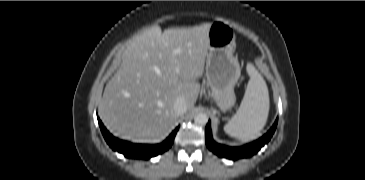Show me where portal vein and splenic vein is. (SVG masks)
Returning <instances> with one entry per match:
<instances>
[{"label": "portal vein and splenic vein", "instance_id": "18ae733b", "mask_svg": "<svg viewBox=\"0 0 365 180\" xmlns=\"http://www.w3.org/2000/svg\"><path fill=\"white\" fill-rule=\"evenodd\" d=\"M180 52V49L178 48V49H175L174 51H173V55H176V54H178Z\"/></svg>", "mask_w": 365, "mask_h": 180}]
</instances>
